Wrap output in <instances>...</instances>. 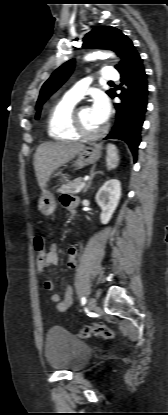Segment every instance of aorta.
I'll return each instance as SVG.
<instances>
[{"instance_id":"aorta-1","label":"aorta","mask_w":168,"mask_h":415,"mask_svg":"<svg viewBox=\"0 0 168 415\" xmlns=\"http://www.w3.org/2000/svg\"><path fill=\"white\" fill-rule=\"evenodd\" d=\"M107 57H115V55L111 52L97 51V52L86 55L85 60L86 61H93V60H96V59H103V58H107Z\"/></svg>"}]
</instances>
